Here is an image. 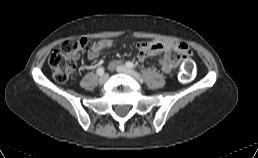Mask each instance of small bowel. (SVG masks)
<instances>
[{"mask_svg":"<svg viewBox=\"0 0 258 158\" xmlns=\"http://www.w3.org/2000/svg\"><path fill=\"white\" fill-rule=\"evenodd\" d=\"M113 45L114 42L110 39L100 40L90 47L87 58L90 61H94L100 56L102 51L111 48ZM134 47L136 49L134 61L138 63L145 61L149 57L163 54L159 59V65L161 71L165 74L179 67L191 54L189 46L178 40L159 39L149 42H138L134 44ZM117 64L118 61L111 62L110 68L114 69Z\"/></svg>","mask_w":258,"mask_h":158,"instance_id":"small-bowel-1","label":"small bowel"}]
</instances>
